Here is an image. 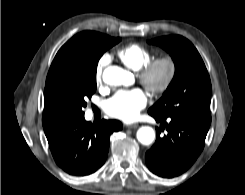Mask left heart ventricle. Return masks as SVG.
Segmentation results:
<instances>
[{
  "instance_id": "obj_1",
  "label": "left heart ventricle",
  "mask_w": 245,
  "mask_h": 195,
  "mask_svg": "<svg viewBox=\"0 0 245 195\" xmlns=\"http://www.w3.org/2000/svg\"><path fill=\"white\" fill-rule=\"evenodd\" d=\"M164 73H165L164 67L158 68L157 71L155 72V76H154L155 81H157V82L160 81L163 78Z\"/></svg>"
}]
</instances>
